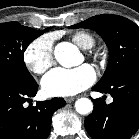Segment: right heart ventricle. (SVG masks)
Returning a JSON list of instances; mask_svg holds the SVG:
<instances>
[{
  "label": "right heart ventricle",
  "mask_w": 139,
  "mask_h": 139,
  "mask_svg": "<svg viewBox=\"0 0 139 139\" xmlns=\"http://www.w3.org/2000/svg\"><path fill=\"white\" fill-rule=\"evenodd\" d=\"M72 40L82 49H91L95 45V38L88 32L79 31L72 35Z\"/></svg>",
  "instance_id": "e07e8e85"
}]
</instances>
